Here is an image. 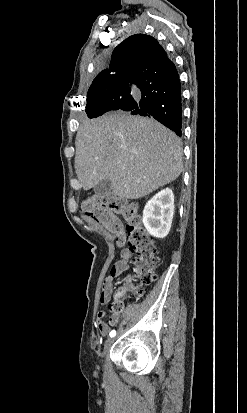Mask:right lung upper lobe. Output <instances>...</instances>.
Listing matches in <instances>:
<instances>
[{"label": "right lung upper lobe", "mask_w": 247, "mask_h": 413, "mask_svg": "<svg viewBox=\"0 0 247 413\" xmlns=\"http://www.w3.org/2000/svg\"><path fill=\"white\" fill-rule=\"evenodd\" d=\"M171 60L158 41L148 35L136 34L125 39L113 51L110 68L100 72L94 80L125 81L133 73H154Z\"/></svg>", "instance_id": "1"}]
</instances>
